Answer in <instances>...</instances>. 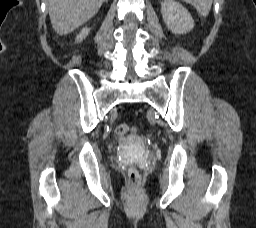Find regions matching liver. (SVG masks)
<instances>
[{"label": "liver", "instance_id": "1", "mask_svg": "<svg viewBox=\"0 0 256 228\" xmlns=\"http://www.w3.org/2000/svg\"><path fill=\"white\" fill-rule=\"evenodd\" d=\"M105 0H48L53 29L67 35L91 19Z\"/></svg>", "mask_w": 256, "mask_h": 228}]
</instances>
